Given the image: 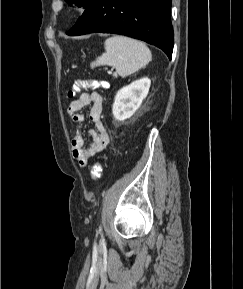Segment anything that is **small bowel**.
I'll use <instances>...</instances> for the list:
<instances>
[{"instance_id": "1", "label": "small bowel", "mask_w": 243, "mask_h": 289, "mask_svg": "<svg viewBox=\"0 0 243 289\" xmlns=\"http://www.w3.org/2000/svg\"><path fill=\"white\" fill-rule=\"evenodd\" d=\"M91 106L89 119L95 128L90 131L92 142L86 146L83 136L76 133L71 141L72 155L79 166L85 167L90 159L102 152L109 143V133L102 122L101 115L103 110V98L96 92L82 93L77 99L73 100L68 107V115L76 123H81L84 116L81 111L86 106Z\"/></svg>"}]
</instances>
